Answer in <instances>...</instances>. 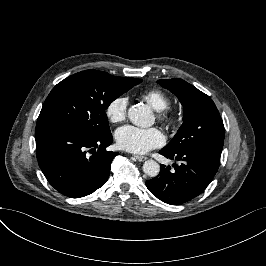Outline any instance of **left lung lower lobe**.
<instances>
[{"label":"left lung lower lobe","instance_id":"1","mask_svg":"<svg viewBox=\"0 0 266 266\" xmlns=\"http://www.w3.org/2000/svg\"><path fill=\"white\" fill-rule=\"evenodd\" d=\"M222 149L210 146H192L180 151H159L166 158L181 161L174 163L175 170L161 165L160 173L146 181L149 191L161 201L179 205L200 195L216 174Z\"/></svg>","mask_w":266,"mask_h":266}]
</instances>
